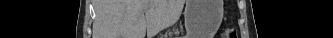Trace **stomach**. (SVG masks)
Wrapping results in <instances>:
<instances>
[{
  "label": "stomach",
  "instance_id": "1",
  "mask_svg": "<svg viewBox=\"0 0 333 38\" xmlns=\"http://www.w3.org/2000/svg\"><path fill=\"white\" fill-rule=\"evenodd\" d=\"M190 5L188 7V10L186 12V16H185V21H186V26L189 28L190 27V24H191V18H192V15H191V8H192V5H193V1H190Z\"/></svg>",
  "mask_w": 333,
  "mask_h": 38
}]
</instances>
